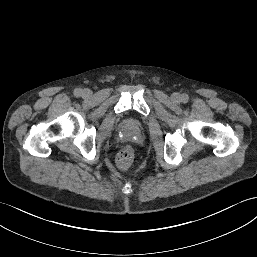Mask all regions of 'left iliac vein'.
<instances>
[{"label": "left iliac vein", "instance_id": "4c4485c4", "mask_svg": "<svg viewBox=\"0 0 257 257\" xmlns=\"http://www.w3.org/2000/svg\"><path fill=\"white\" fill-rule=\"evenodd\" d=\"M180 99V95L178 94V93H174L173 95H172V100L173 101H178Z\"/></svg>", "mask_w": 257, "mask_h": 257}]
</instances>
